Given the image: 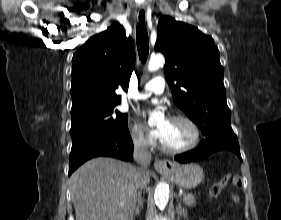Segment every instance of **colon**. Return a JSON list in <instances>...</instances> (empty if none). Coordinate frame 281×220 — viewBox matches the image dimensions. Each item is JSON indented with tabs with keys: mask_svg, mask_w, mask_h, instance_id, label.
Returning <instances> with one entry per match:
<instances>
[{
	"mask_svg": "<svg viewBox=\"0 0 281 220\" xmlns=\"http://www.w3.org/2000/svg\"><path fill=\"white\" fill-rule=\"evenodd\" d=\"M228 180L231 181L234 187H239L240 186V177L237 175H226L219 181L215 182L209 189V195L211 198L215 199L219 197L221 194L222 190L224 189L226 183Z\"/></svg>",
	"mask_w": 281,
	"mask_h": 220,
	"instance_id": "obj_1",
	"label": "colon"
}]
</instances>
